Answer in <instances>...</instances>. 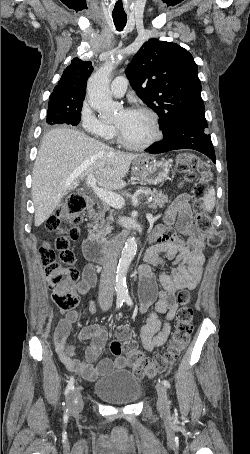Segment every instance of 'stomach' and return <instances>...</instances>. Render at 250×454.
Here are the masks:
<instances>
[{
	"label": "stomach",
	"instance_id": "obj_1",
	"mask_svg": "<svg viewBox=\"0 0 250 454\" xmlns=\"http://www.w3.org/2000/svg\"><path fill=\"white\" fill-rule=\"evenodd\" d=\"M170 163L166 160H156L153 156L142 155L133 161V175L142 183L158 184L166 179Z\"/></svg>",
	"mask_w": 250,
	"mask_h": 454
}]
</instances>
